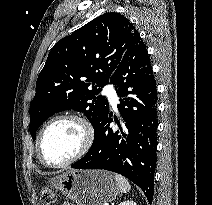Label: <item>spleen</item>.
<instances>
[{
  "instance_id": "obj_1",
  "label": "spleen",
  "mask_w": 212,
  "mask_h": 205,
  "mask_svg": "<svg viewBox=\"0 0 212 205\" xmlns=\"http://www.w3.org/2000/svg\"><path fill=\"white\" fill-rule=\"evenodd\" d=\"M115 180L121 193H127L131 189L130 183L123 176L115 174Z\"/></svg>"
}]
</instances>
